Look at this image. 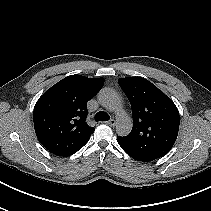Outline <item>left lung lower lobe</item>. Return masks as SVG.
Listing matches in <instances>:
<instances>
[{"label": "left lung lower lobe", "mask_w": 211, "mask_h": 211, "mask_svg": "<svg viewBox=\"0 0 211 211\" xmlns=\"http://www.w3.org/2000/svg\"><path fill=\"white\" fill-rule=\"evenodd\" d=\"M117 141L118 143L120 144L121 146V137H117ZM132 158H134L135 160H138V161H143V162H150V161H153L154 159L151 158V157H147V156H143V155H139V154H134V153H129L127 152Z\"/></svg>", "instance_id": "obj_1"}]
</instances>
